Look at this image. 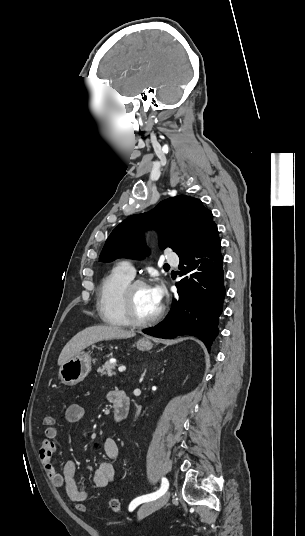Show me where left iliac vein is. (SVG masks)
<instances>
[{
  "label": "left iliac vein",
  "instance_id": "left-iliac-vein-1",
  "mask_svg": "<svg viewBox=\"0 0 305 536\" xmlns=\"http://www.w3.org/2000/svg\"><path fill=\"white\" fill-rule=\"evenodd\" d=\"M171 493L170 491H166L162 496L158 497L155 500H152L148 503L142 504L140 508L138 509V519H141L154 511L158 510L159 508L163 507L168 500L170 499Z\"/></svg>",
  "mask_w": 305,
  "mask_h": 536
}]
</instances>
